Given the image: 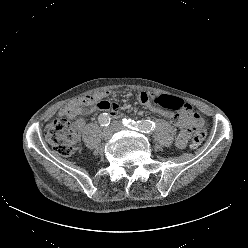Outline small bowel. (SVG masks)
Returning <instances> with one entry per match:
<instances>
[{"instance_id":"obj_1","label":"small bowel","mask_w":248,"mask_h":248,"mask_svg":"<svg viewBox=\"0 0 248 248\" xmlns=\"http://www.w3.org/2000/svg\"><path fill=\"white\" fill-rule=\"evenodd\" d=\"M110 95V92H98L89 96H85L77 101H74L59 110V116H69L71 114H77L80 112V107L84 101L94 105L99 111L108 112L112 117L119 115L118 105L116 103L109 102L106 98ZM152 95L146 92L138 94V101L147 106L151 111L168 118L175 126L181 128L178 131L176 145L179 148H185L190 137L191 130L195 129L197 117L186 107L181 110L180 113H173L172 111L163 109L152 103ZM77 124L79 127L83 125V120L78 119Z\"/></svg>"}]
</instances>
